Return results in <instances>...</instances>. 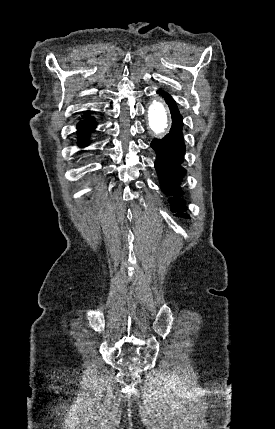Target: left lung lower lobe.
<instances>
[{"instance_id":"left-lung-lower-lobe-1","label":"left lung lower lobe","mask_w":275,"mask_h":429,"mask_svg":"<svg viewBox=\"0 0 275 429\" xmlns=\"http://www.w3.org/2000/svg\"><path fill=\"white\" fill-rule=\"evenodd\" d=\"M163 97L169 105L173 123L170 133L163 139H154L151 147L157 154L155 168L160 179L161 188L166 195L173 196V198H170V203L173 204L172 211L184 212L186 206L184 201L179 198L183 194L179 185L186 174V170L181 167L185 153L182 116L175 101L168 94ZM178 216L188 217L182 214H178Z\"/></svg>"}]
</instances>
